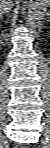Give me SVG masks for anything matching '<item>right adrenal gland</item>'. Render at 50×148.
Returning a JSON list of instances; mask_svg holds the SVG:
<instances>
[{"instance_id":"1","label":"right adrenal gland","mask_w":50,"mask_h":148,"mask_svg":"<svg viewBox=\"0 0 50 148\" xmlns=\"http://www.w3.org/2000/svg\"><path fill=\"white\" fill-rule=\"evenodd\" d=\"M10 8L8 7V8H5L3 11H1V17L3 16V15H9V10Z\"/></svg>"}]
</instances>
